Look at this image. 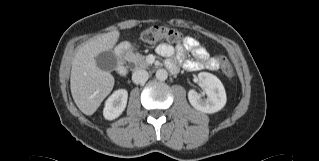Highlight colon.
<instances>
[{
	"label": "colon",
	"instance_id": "obj_1",
	"mask_svg": "<svg viewBox=\"0 0 319 161\" xmlns=\"http://www.w3.org/2000/svg\"><path fill=\"white\" fill-rule=\"evenodd\" d=\"M142 39L146 43H156L162 40H166L172 43H180L183 39V35L179 30L171 29L163 26H153L146 29L142 33ZM212 70L221 69L228 77L232 78L234 72L232 68L223 59H217L210 63Z\"/></svg>",
	"mask_w": 319,
	"mask_h": 161
}]
</instances>
